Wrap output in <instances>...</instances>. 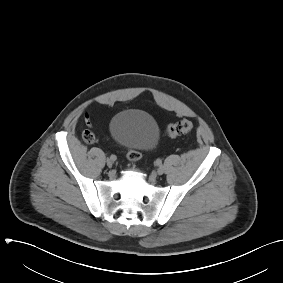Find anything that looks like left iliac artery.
I'll list each match as a JSON object with an SVG mask.
<instances>
[{
	"instance_id": "obj_1",
	"label": "left iliac artery",
	"mask_w": 283,
	"mask_h": 283,
	"mask_svg": "<svg viewBox=\"0 0 283 283\" xmlns=\"http://www.w3.org/2000/svg\"><path fill=\"white\" fill-rule=\"evenodd\" d=\"M156 164H157L158 166H162V160H161V159H157V160H156Z\"/></svg>"
}]
</instances>
